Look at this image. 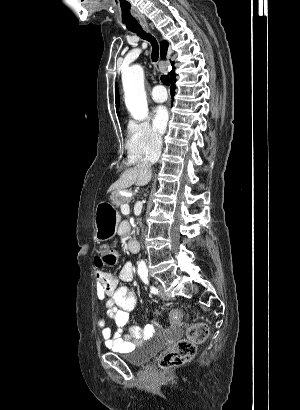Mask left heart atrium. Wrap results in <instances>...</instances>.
Wrapping results in <instances>:
<instances>
[{
  "label": "left heart atrium",
  "instance_id": "1",
  "mask_svg": "<svg viewBox=\"0 0 300 410\" xmlns=\"http://www.w3.org/2000/svg\"><path fill=\"white\" fill-rule=\"evenodd\" d=\"M169 120V113L165 106H158L154 111L153 124L157 131L163 132Z\"/></svg>",
  "mask_w": 300,
  "mask_h": 410
}]
</instances>
